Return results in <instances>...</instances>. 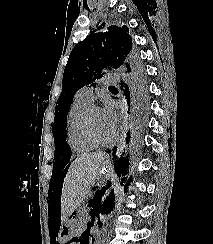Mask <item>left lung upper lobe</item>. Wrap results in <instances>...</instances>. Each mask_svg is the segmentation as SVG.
Segmentation results:
<instances>
[{"label":"left lung upper lobe","instance_id":"obj_1","mask_svg":"<svg viewBox=\"0 0 213 244\" xmlns=\"http://www.w3.org/2000/svg\"><path fill=\"white\" fill-rule=\"evenodd\" d=\"M122 68L129 85L125 92L130 106L148 108V91L145 73L132 47V38L127 26H101L92 31L71 51L67 61L62 93L57 100L52 126L54 139L63 138L66 143L67 113L75 93L85 85H95L106 71Z\"/></svg>","mask_w":213,"mask_h":244}]
</instances>
